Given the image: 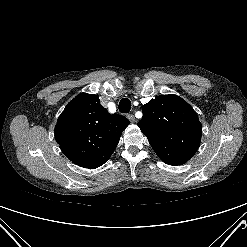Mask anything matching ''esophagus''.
<instances>
[{"label":"esophagus","instance_id":"obj_1","mask_svg":"<svg viewBox=\"0 0 247 247\" xmlns=\"http://www.w3.org/2000/svg\"><path fill=\"white\" fill-rule=\"evenodd\" d=\"M127 118L130 120V122H134L135 121V117L133 114H128Z\"/></svg>","mask_w":247,"mask_h":247}]
</instances>
